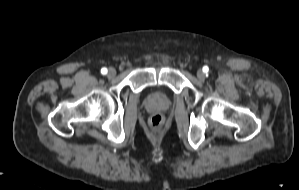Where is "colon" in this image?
Masks as SVG:
<instances>
[{
  "label": "colon",
  "instance_id": "colon-1",
  "mask_svg": "<svg viewBox=\"0 0 299 190\" xmlns=\"http://www.w3.org/2000/svg\"><path fill=\"white\" fill-rule=\"evenodd\" d=\"M163 124V118L159 114H155L150 118V126L153 129H159Z\"/></svg>",
  "mask_w": 299,
  "mask_h": 190
}]
</instances>
